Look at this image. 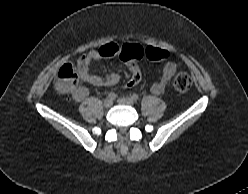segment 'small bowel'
<instances>
[{
  "instance_id": "1",
  "label": "small bowel",
  "mask_w": 248,
  "mask_h": 194,
  "mask_svg": "<svg viewBox=\"0 0 248 194\" xmlns=\"http://www.w3.org/2000/svg\"><path fill=\"white\" fill-rule=\"evenodd\" d=\"M164 53H166L165 50L154 47L143 48L137 43H128L124 45L107 43L99 49L91 50L83 54L77 61V71L80 79L86 84L95 87H110L116 85L120 81V75L116 72H111L103 76L92 74L90 72V67L93 62L113 56H119L123 64L129 67L133 72V70L137 67L136 61L143 56H146L151 60H159V55ZM179 66L180 62L177 59L165 62L162 70V76L159 81L152 84L151 92L156 95L162 94L165 91L168 82L178 70ZM137 83H134L131 78L128 81L127 86L132 87ZM72 96L75 101L82 102L88 96V89L84 86H78L72 91Z\"/></svg>"
}]
</instances>
